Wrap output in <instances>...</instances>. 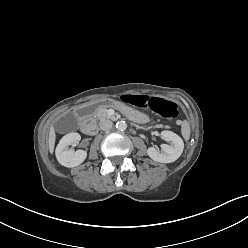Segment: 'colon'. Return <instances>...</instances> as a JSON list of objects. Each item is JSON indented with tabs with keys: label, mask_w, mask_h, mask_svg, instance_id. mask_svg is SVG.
I'll list each match as a JSON object with an SVG mask.
<instances>
[{
	"label": "colon",
	"mask_w": 248,
	"mask_h": 248,
	"mask_svg": "<svg viewBox=\"0 0 248 248\" xmlns=\"http://www.w3.org/2000/svg\"><path fill=\"white\" fill-rule=\"evenodd\" d=\"M123 94L121 99L126 101L128 98L132 104L140 107H145L151 109L153 112L159 114L160 116L173 119L177 115V104L173 101L165 100L160 97H147V96H135Z\"/></svg>",
	"instance_id": "1"
}]
</instances>
